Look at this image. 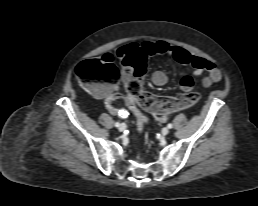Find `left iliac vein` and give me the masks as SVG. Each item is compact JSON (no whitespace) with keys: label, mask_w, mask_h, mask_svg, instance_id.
I'll list each match as a JSON object with an SVG mask.
<instances>
[{"label":"left iliac vein","mask_w":258,"mask_h":206,"mask_svg":"<svg viewBox=\"0 0 258 206\" xmlns=\"http://www.w3.org/2000/svg\"><path fill=\"white\" fill-rule=\"evenodd\" d=\"M168 133H169V129L168 128L165 127V128L162 129V134L163 135H167Z\"/></svg>","instance_id":"4c4485c4"}]
</instances>
